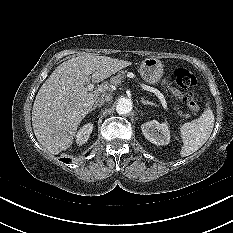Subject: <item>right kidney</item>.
Here are the masks:
<instances>
[{"label": "right kidney", "instance_id": "right-kidney-1", "mask_svg": "<svg viewBox=\"0 0 233 233\" xmlns=\"http://www.w3.org/2000/svg\"><path fill=\"white\" fill-rule=\"evenodd\" d=\"M92 130H93V124L87 123L83 125L77 132L76 143L79 145L86 143L89 139L90 134L92 133Z\"/></svg>", "mask_w": 233, "mask_h": 233}]
</instances>
